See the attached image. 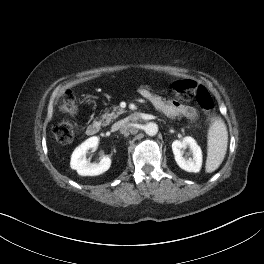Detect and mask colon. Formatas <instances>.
<instances>
[{
    "instance_id": "obj_1",
    "label": "colon",
    "mask_w": 264,
    "mask_h": 264,
    "mask_svg": "<svg viewBox=\"0 0 264 264\" xmlns=\"http://www.w3.org/2000/svg\"><path fill=\"white\" fill-rule=\"evenodd\" d=\"M176 97L183 102L195 101L209 116L213 118L214 103L208 90L198 86L193 81L181 80L171 84ZM62 111L68 116H74L78 111V105L74 95L66 92L62 105ZM54 135L61 143H70L75 137V124L72 120L66 119L54 128Z\"/></svg>"
}]
</instances>
